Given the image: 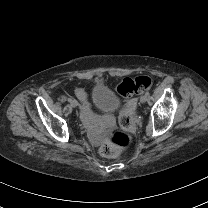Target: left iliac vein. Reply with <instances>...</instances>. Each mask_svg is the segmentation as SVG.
Here are the masks:
<instances>
[{
  "label": "left iliac vein",
  "mask_w": 208,
  "mask_h": 208,
  "mask_svg": "<svg viewBox=\"0 0 208 208\" xmlns=\"http://www.w3.org/2000/svg\"><path fill=\"white\" fill-rule=\"evenodd\" d=\"M147 96L146 95H142L141 97H140V102L141 103H145L146 101H147Z\"/></svg>",
  "instance_id": "1"
}]
</instances>
